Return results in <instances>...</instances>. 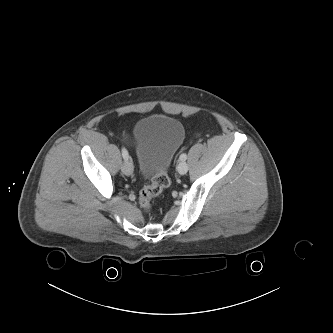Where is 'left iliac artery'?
<instances>
[{
  "label": "left iliac artery",
  "mask_w": 333,
  "mask_h": 333,
  "mask_svg": "<svg viewBox=\"0 0 333 333\" xmlns=\"http://www.w3.org/2000/svg\"><path fill=\"white\" fill-rule=\"evenodd\" d=\"M179 159L181 161H185L187 159V155L185 153H183V154L180 155Z\"/></svg>",
  "instance_id": "44dca946"
}]
</instances>
